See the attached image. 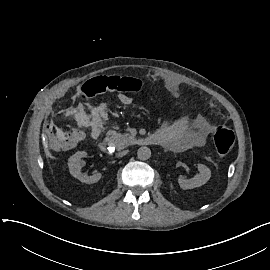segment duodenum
I'll use <instances>...</instances> for the list:
<instances>
[{
	"mask_svg": "<svg viewBox=\"0 0 270 270\" xmlns=\"http://www.w3.org/2000/svg\"><path fill=\"white\" fill-rule=\"evenodd\" d=\"M140 145H160L161 141L160 138L157 136L156 133L148 135L138 140ZM99 148L104 153H110L112 150V143L108 139H104L99 143Z\"/></svg>",
	"mask_w": 270,
	"mask_h": 270,
	"instance_id": "obj_1",
	"label": "duodenum"
}]
</instances>
